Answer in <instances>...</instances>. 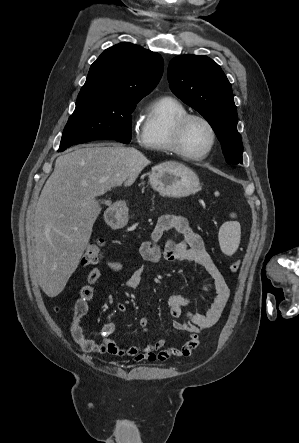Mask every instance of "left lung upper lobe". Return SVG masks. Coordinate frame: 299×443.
<instances>
[{
	"label": "left lung upper lobe",
	"mask_w": 299,
	"mask_h": 443,
	"mask_svg": "<svg viewBox=\"0 0 299 443\" xmlns=\"http://www.w3.org/2000/svg\"><path fill=\"white\" fill-rule=\"evenodd\" d=\"M168 81L172 92L211 125L227 163L242 164L232 88L220 66L204 55H180L169 64Z\"/></svg>",
	"instance_id": "5c2ea615"
}]
</instances>
